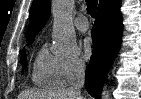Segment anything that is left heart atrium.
I'll list each match as a JSON object with an SVG mask.
<instances>
[{"label":"left heart atrium","instance_id":"obj_1","mask_svg":"<svg viewBox=\"0 0 141 99\" xmlns=\"http://www.w3.org/2000/svg\"><path fill=\"white\" fill-rule=\"evenodd\" d=\"M82 48L86 56H90L93 51V41L90 37H86L82 41Z\"/></svg>","mask_w":141,"mask_h":99}]
</instances>
